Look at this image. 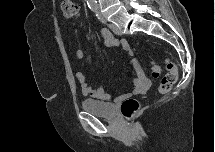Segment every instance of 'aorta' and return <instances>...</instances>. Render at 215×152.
Segmentation results:
<instances>
[{
	"instance_id": "aorta-1",
	"label": "aorta",
	"mask_w": 215,
	"mask_h": 152,
	"mask_svg": "<svg viewBox=\"0 0 215 152\" xmlns=\"http://www.w3.org/2000/svg\"><path fill=\"white\" fill-rule=\"evenodd\" d=\"M88 5L92 9L96 8L97 7V0H88Z\"/></svg>"
}]
</instances>
